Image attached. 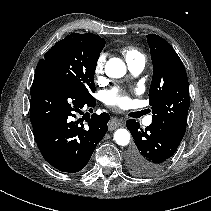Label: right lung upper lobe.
<instances>
[{
	"label": "right lung upper lobe",
	"instance_id": "right-lung-upper-lobe-1",
	"mask_svg": "<svg viewBox=\"0 0 211 211\" xmlns=\"http://www.w3.org/2000/svg\"><path fill=\"white\" fill-rule=\"evenodd\" d=\"M87 36L92 37L95 41H97V43H99L101 46L105 45V41L104 39H102L101 37H99L98 35L92 34V33H86Z\"/></svg>",
	"mask_w": 211,
	"mask_h": 211
}]
</instances>
